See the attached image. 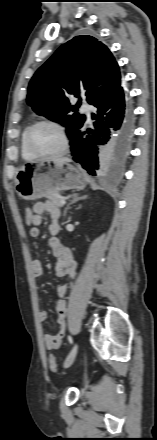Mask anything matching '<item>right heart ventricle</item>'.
<instances>
[{
	"mask_svg": "<svg viewBox=\"0 0 157 440\" xmlns=\"http://www.w3.org/2000/svg\"><path fill=\"white\" fill-rule=\"evenodd\" d=\"M30 126H27L24 131L22 132L21 135V140H20V147H21V154L22 157L26 160H31L36 158V155L33 154L29 148L27 147V143H26V136H27V132L29 130Z\"/></svg>",
	"mask_w": 157,
	"mask_h": 440,
	"instance_id": "e07e8e85",
	"label": "right heart ventricle"
}]
</instances>
